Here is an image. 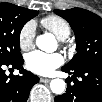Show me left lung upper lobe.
Here are the masks:
<instances>
[{"label":"left lung upper lobe","instance_id":"1","mask_svg":"<svg viewBox=\"0 0 102 102\" xmlns=\"http://www.w3.org/2000/svg\"><path fill=\"white\" fill-rule=\"evenodd\" d=\"M66 19L76 37L77 53L64 68L102 65V19L85 9L54 10Z\"/></svg>","mask_w":102,"mask_h":102}]
</instances>
